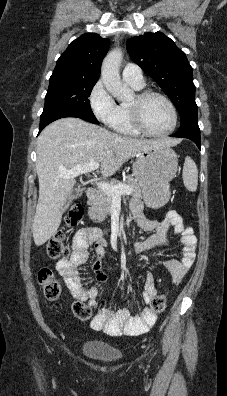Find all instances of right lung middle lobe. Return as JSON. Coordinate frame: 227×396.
<instances>
[{
	"mask_svg": "<svg viewBox=\"0 0 227 396\" xmlns=\"http://www.w3.org/2000/svg\"><path fill=\"white\" fill-rule=\"evenodd\" d=\"M96 82L97 79L52 74L45 96L43 113L69 109L82 115L87 121L99 124L88 99Z\"/></svg>",
	"mask_w": 227,
	"mask_h": 396,
	"instance_id": "1",
	"label": "right lung middle lobe"
}]
</instances>
